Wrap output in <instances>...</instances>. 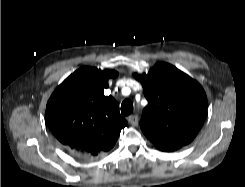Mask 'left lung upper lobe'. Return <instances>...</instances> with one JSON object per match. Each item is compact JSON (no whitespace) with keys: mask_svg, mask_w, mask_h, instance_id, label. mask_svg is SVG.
<instances>
[{"mask_svg":"<svg viewBox=\"0 0 245 187\" xmlns=\"http://www.w3.org/2000/svg\"><path fill=\"white\" fill-rule=\"evenodd\" d=\"M139 79V75H134ZM148 105L140 126L159 150L186 146L202 127L207 97L201 85L168 63H157L141 76Z\"/></svg>","mask_w":245,"mask_h":187,"instance_id":"left-lung-upper-lobe-1","label":"left lung upper lobe"}]
</instances>
